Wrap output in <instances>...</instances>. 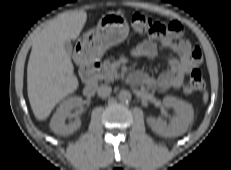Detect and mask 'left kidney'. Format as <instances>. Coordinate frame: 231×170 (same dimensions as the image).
I'll return each mask as SVG.
<instances>
[{
    "mask_svg": "<svg viewBox=\"0 0 231 170\" xmlns=\"http://www.w3.org/2000/svg\"><path fill=\"white\" fill-rule=\"evenodd\" d=\"M163 104L165 107L173 108L176 116L172 117L169 124L154 117H148L147 123L151 129L164 137H176L185 133L194 118L192 106L185 101L170 96L163 99Z\"/></svg>",
    "mask_w": 231,
    "mask_h": 170,
    "instance_id": "1",
    "label": "left kidney"
}]
</instances>
